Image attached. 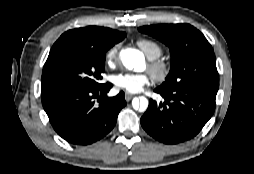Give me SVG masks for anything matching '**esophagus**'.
Segmentation results:
<instances>
[{
	"instance_id": "obj_1",
	"label": "esophagus",
	"mask_w": 254,
	"mask_h": 174,
	"mask_svg": "<svg viewBox=\"0 0 254 174\" xmlns=\"http://www.w3.org/2000/svg\"><path fill=\"white\" fill-rule=\"evenodd\" d=\"M133 97H134L133 94H130V93H126V94H125V100H126V101H130Z\"/></svg>"
}]
</instances>
